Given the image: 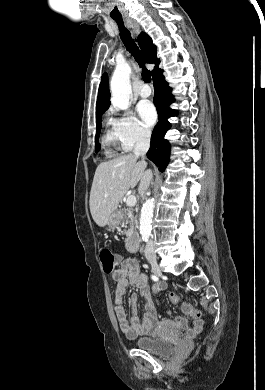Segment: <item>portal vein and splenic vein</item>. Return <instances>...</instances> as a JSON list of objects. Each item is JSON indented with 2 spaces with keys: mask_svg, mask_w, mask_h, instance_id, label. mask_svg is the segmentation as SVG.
<instances>
[{
  "mask_svg": "<svg viewBox=\"0 0 265 390\" xmlns=\"http://www.w3.org/2000/svg\"><path fill=\"white\" fill-rule=\"evenodd\" d=\"M136 202H137V200H136V197H135L134 195L128 196V198H127V200H126V204H127V206H129V207L135 206V205H136Z\"/></svg>",
  "mask_w": 265,
  "mask_h": 390,
  "instance_id": "18ae733b",
  "label": "portal vein and splenic vein"
}]
</instances>
